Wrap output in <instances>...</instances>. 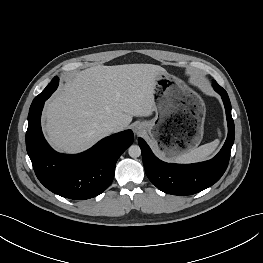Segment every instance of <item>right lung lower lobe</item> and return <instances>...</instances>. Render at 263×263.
<instances>
[{"label": "right lung lower lobe", "instance_id": "right-lung-lower-lobe-1", "mask_svg": "<svg viewBox=\"0 0 263 263\" xmlns=\"http://www.w3.org/2000/svg\"><path fill=\"white\" fill-rule=\"evenodd\" d=\"M53 92H41L28 114L26 148L35 174L47 189L62 197H95L111 184L118 158L133 143V132L127 130L106 137L77 155L57 153L46 142L40 123L44 102Z\"/></svg>", "mask_w": 263, "mask_h": 263}]
</instances>
